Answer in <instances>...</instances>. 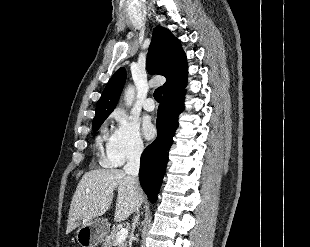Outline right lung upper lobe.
Returning <instances> with one entry per match:
<instances>
[{"instance_id": "obj_1", "label": "right lung upper lobe", "mask_w": 310, "mask_h": 247, "mask_svg": "<svg viewBox=\"0 0 310 247\" xmlns=\"http://www.w3.org/2000/svg\"><path fill=\"white\" fill-rule=\"evenodd\" d=\"M147 70L151 74L165 76L164 93L186 84V55L180 41L168 29L161 26L153 30L147 57ZM125 80V69H118L107 83L98 101L93 122L101 117H108L114 110Z\"/></svg>"}]
</instances>
